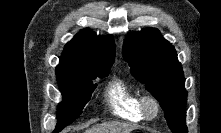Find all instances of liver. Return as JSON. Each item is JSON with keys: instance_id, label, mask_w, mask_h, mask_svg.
Instances as JSON below:
<instances>
[{"instance_id": "6515ba94", "label": "liver", "mask_w": 221, "mask_h": 133, "mask_svg": "<svg viewBox=\"0 0 221 133\" xmlns=\"http://www.w3.org/2000/svg\"><path fill=\"white\" fill-rule=\"evenodd\" d=\"M133 129V126L125 123L107 122L87 129L85 133H131Z\"/></svg>"}]
</instances>
